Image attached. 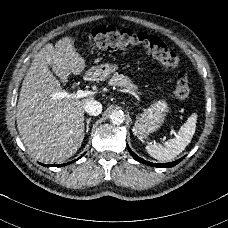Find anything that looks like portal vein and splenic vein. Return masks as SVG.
Segmentation results:
<instances>
[{"label":"portal vein and splenic vein","instance_id":"portal-vein-and-splenic-vein-1","mask_svg":"<svg viewBox=\"0 0 228 228\" xmlns=\"http://www.w3.org/2000/svg\"><path fill=\"white\" fill-rule=\"evenodd\" d=\"M89 93H90V91H84L82 89H79L75 94H73V93L70 94V93H68L66 91H62V92L57 93L56 97L57 98H71V97H74V98H78L79 99V98L86 97ZM167 133L169 135H171L172 138L176 137V133L173 130H171V129H168ZM160 139L161 140H165L166 136L165 135H161Z\"/></svg>","mask_w":228,"mask_h":228}]
</instances>
